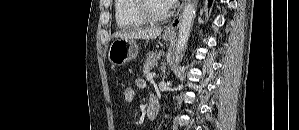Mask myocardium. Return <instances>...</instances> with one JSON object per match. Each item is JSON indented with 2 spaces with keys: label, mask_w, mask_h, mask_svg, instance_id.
Returning <instances> with one entry per match:
<instances>
[{
  "label": "myocardium",
  "mask_w": 299,
  "mask_h": 130,
  "mask_svg": "<svg viewBox=\"0 0 299 130\" xmlns=\"http://www.w3.org/2000/svg\"><path fill=\"white\" fill-rule=\"evenodd\" d=\"M157 0H136L135 10L137 14L148 22H160L166 20L171 15V6L166 5L163 14H156L151 10L150 3Z\"/></svg>",
  "instance_id": "obj_1"
}]
</instances>
